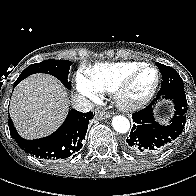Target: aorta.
Masks as SVG:
<instances>
[{
	"mask_svg": "<svg viewBox=\"0 0 196 196\" xmlns=\"http://www.w3.org/2000/svg\"><path fill=\"white\" fill-rule=\"evenodd\" d=\"M112 126L116 132L124 134L129 131L130 122L126 117L118 115L113 117Z\"/></svg>",
	"mask_w": 196,
	"mask_h": 196,
	"instance_id": "762f6f07",
	"label": "aorta"
}]
</instances>
